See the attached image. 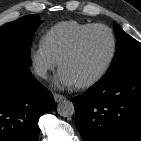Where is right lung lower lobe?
Here are the masks:
<instances>
[{
	"instance_id": "1",
	"label": "right lung lower lobe",
	"mask_w": 141,
	"mask_h": 141,
	"mask_svg": "<svg viewBox=\"0 0 141 141\" xmlns=\"http://www.w3.org/2000/svg\"><path fill=\"white\" fill-rule=\"evenodd\" d=\"M54 107L29 68L0 69V141H37L39 118Z\"/></svg>"
}]
</instances>
